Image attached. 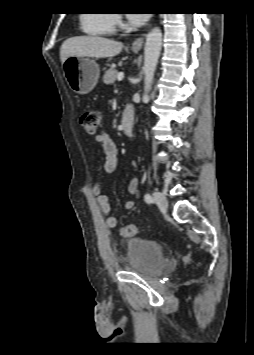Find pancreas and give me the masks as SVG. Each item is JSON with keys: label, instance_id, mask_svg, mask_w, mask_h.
Returning a JSON list of instances; mask_svg holds the SVG:
<instances>
[{"label": "pancreas", "instance_id": "1", "mask_svg": "<svg viewBox=\"0 0 254 355\" xmlns=\"http://www.w3.org/2000/svg\"><path fill=\"white\" fill-rule=\"evenodd\" d=\"M116 76H117L116 69L110 68L105 72L103 76V81L105 84H113L116 80Z\"/></svg>", "mask_w": 254, "mask_h": 355}]
</instances>
